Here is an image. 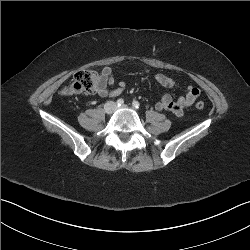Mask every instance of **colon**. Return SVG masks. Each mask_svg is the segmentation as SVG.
Returning a JSON list of instances; mask_svg holds the SVG:
<instances>
[{
  "label": "colon",
  "mask_w": 250,
  "mask_h": 250,
  "mask_svg": "<svg viewBox=\"0 0 250 250\" xmlns=\"http://www.w3.org/2000/svg\"><path fill=\"white\" fill-rule=\"evenodd\" d=\"M100 82L99 74L94 70H81L74 75L73 81L62 90L64 95L93 94L97 91ZM204 102L195 104L197 109H203Z\"/></svg>",
  "instance_id": "obj_1"
}]
</instances>
